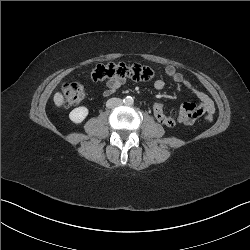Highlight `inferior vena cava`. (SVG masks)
I'll use <instances>...</instances> for the list:
<instances>
[{"instance_id": "1", "label": "inferior vena cava", "mask_w": 250, "mask_h": 250, "mask_svg": "<svg viewBox=\"0 0 250 250\" xmlns=\"http://www.w3.org/2000/svg\"><path fill=\"white\" fill-rule=\"evenodd\" d=\"M122 104H123V102H122V99H120V98H111L106 102V106L108 108H113L116 106H120Z\"/></svg>"}]
</instances>
